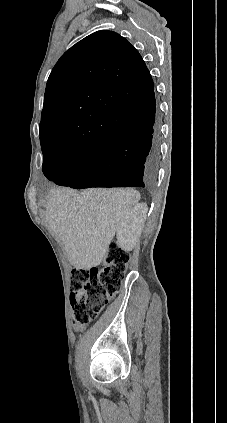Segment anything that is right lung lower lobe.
I'll return each mask as SVG.
<instances>
[{
  "label": "right lung lower lobe",
  "mask_w": 227,
  "mask_h": 423,
  "mask_svg": "<svg viewBox=\"0 0 227 423\" xmlns=\"http://www.w3.org/2000/svg\"><path fill=\"white\" fill-rule=\"evenodd\" d=\"M107 117L130 121L125 132L96 144L74 160L43 163L46 178L75 189L143 187L151 189L160 160V127L153 92L144 100L101 109Z\"/></svg>",
  "instance_id": "right-lung-lower-lobe-1"
}]
</instances>
